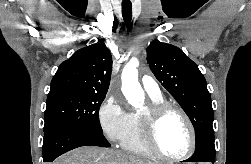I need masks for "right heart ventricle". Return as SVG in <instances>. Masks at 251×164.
Masks as SVG:
<instances>
[{
    "label": "right heart ventricle",
    "instance_id": "1",
    "mask_svg": "<svg viewBox=\"0 0 251 164\" xmlns=\"http://www.w3.org/2000/svg\"><path fill=\"white\" fill-rule=\"evenodd\" d=\"M153 103H162V97H151ZM122 148L134 155L153 158L155 155L148 149L143 137L140 115L130 113V124L127 133L121 141Z\"/></svg>",
    "mask_w": 251,
    "mask_h": 164
}]
</instances>
